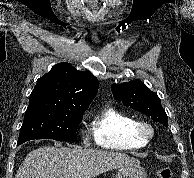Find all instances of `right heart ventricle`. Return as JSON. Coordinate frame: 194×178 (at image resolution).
Returning <instances> with one entry per match:
<instances>
[{
    "mask_svg": "<svg viewBox=\"0 0 194 178\" xmlns=\"http://www.w3.org/2000/svg\"><path fill=\"white\" fill-rule=\"evenodd\" d=\"M136 120L111 106L103 108L91 121V133L99 147L113 150H137L146 143L133 132Z\"/></svg>",
    "mask_w": 194,
    "mask_h": 178,
    "instance_id": "e07e8e85",
    "label": "right heart ventricle"
}]
</instances>
